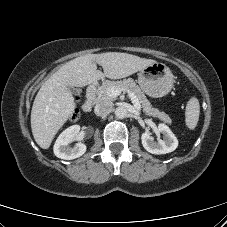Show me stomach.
I'll use <instances>...</instances> for the list:
<instances>
[{
  "mask_svg": "<svg viewBox=\"0 0 227 227\" xmlns=\"http://www.w3.org/2000/svg\"><path fill=\"white\" fill-rule=\"evenodd\" d=\"M141 90L151 97H162L170 92L174 84L171 70L163 63L155 62L138 73Z\"/></svg>",
  "mask_w": 227,
  "mask_h": 227,
  "instance_id": "obj_1",
  "label": "stomach"
}]
</instances>
